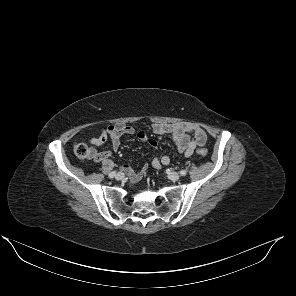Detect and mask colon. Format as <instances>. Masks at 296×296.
Masks as SVG:
<instances>
[{
	"label": "colon",
	"instance_id": "colon-1",
	"mask_svg": "<svg viewBox=\"0 0 296 296\" xmlns=\"http://www.w3.org/2000/svg\"><path fill=\"white\" fill-rule=\"evenodd\" d=\"M73 151H74V154L76 155V157H78L79 159H89V158H92V156L94 155V151L91 150L86 144L84 143H76L74 146H73ZM197 153L200 155V156H207L208 154V151L207 149L205 148H199L197 150Z\"/></svg>",
	"mask_w": 296,
	"mask_h": 296
}]
</instances>
